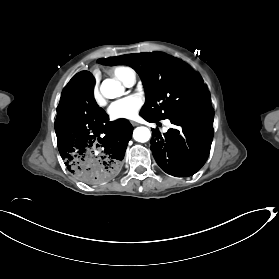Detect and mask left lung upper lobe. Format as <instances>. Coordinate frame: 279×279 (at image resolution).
I'll use <instances>...</instances> for the list:
<instances>
[{
  "label": "left lung upper lobe",
  "instance_id": "obj_1",
  "mask_svg": "<svg viewBox=\"0 0 279 279\" xmlns=\"http://www.w3.org/2000/svg\"><path fill=\"white\" fill-rule=\"evenodd\" d=\"M105 65H128L140 76L146 101L140 111L154 121L172 119L211 108L202 78L185 62L162 52L103 58Z\"/></svg>",
  "mask_w": 279,
  "mask_h": 279
}]
</instances>
